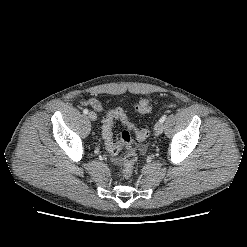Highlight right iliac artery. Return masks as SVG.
Wrapping results in <instances>:
<instances>
[{
	"mask_svg": "<svg viewBox=\"0 0 247 247\" xmlns=\"http://www.w3.org/2000/svg\"><path fill=\"white\" fill-rule=\"evenodd\" d=\"M83 113H84V114H88V109H84V110H83Z\"/></svg>",
	"mask_w": 247,
	"mask_h": 247,
	"instance_id": "obj_1",
	"label": "right iliac artery"
}]
</instances>
